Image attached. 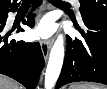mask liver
Here are the masks:
<instances>
[{
	"mask_svg": "<svg viewBox=\"0 0 107 89\" xmlns=\"http://www.w3.org/2000/svg\"><path fill=\"white\" fill-rule=\"evenodd\" d=\"M0 89H22L14 80L1 76L0 78Z\"/></svg>",
	"mask_w": 107,
	"mask_h": 89,
	"instance_id": "1",
	"label": "liver"
}]
</instances>
